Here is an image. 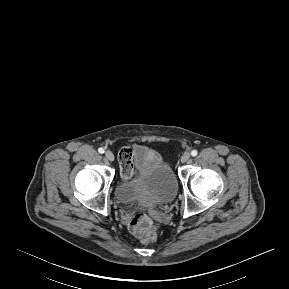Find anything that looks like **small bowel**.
<instances>
[{
    "label": "small bowel",
    "instance_id": "c3829d8e",
    "mask_svg": "<svg viewBox=\"0 0 289 289\" xmlns=\"http://www.w3.org/2000/svg\"><path fill=\"white\" fill-rule=\"evenodd\" d=\"M152 156L160 158V156L151 151ZM119 159L121 162L120 175L123 180H129L136 174L134 165V149L131 147H125L121 149L119 153ZM161 159V158H160ZM129 231L138 238H141L144 233L149 229H154L151 219L142 220L135 214L127 219Z\"/></svg>",
    "mask_w": 289,
    "mask_h": 289
}]
</instances>
